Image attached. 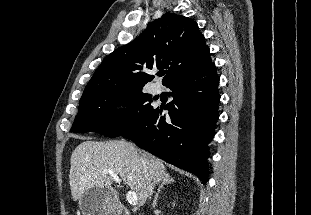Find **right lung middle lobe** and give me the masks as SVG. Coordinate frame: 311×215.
Returning a JSON list of instances; mask_svg holds the SVG:
<instances>
[{"label":"right lung middle lobe","instance_id":"right-lung-middle-lobe-1","mask_svg":"<svg viewBox=\"0 0 311 215\" xmlns=\"http://www.w3.org/2000/svg\"><path fill=\"white\" fill-rule=\"evenodd\" d=\"M150 102L151 95L142 90L104 94L79 102L71 131H91L119 137L139 124L153 109Z\"/></svg>","mask_w":311,"mask_h":215}]
</instances>
